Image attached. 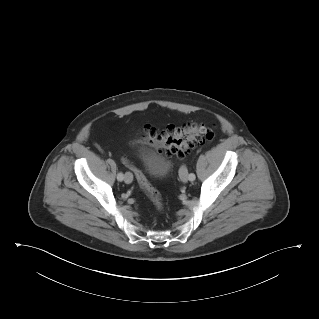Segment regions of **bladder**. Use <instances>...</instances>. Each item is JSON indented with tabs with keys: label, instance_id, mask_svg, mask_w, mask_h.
<instances>
[{
	"label": "bladder",
	"instance_id": "31cf9c89",
	"mask_svg": "<svg viewBox=\"0 0 319 319\" xmlns=\"http://www.w3.org/2000/svg\"><path fill=\"white\" fill-rule=\"evenodd\" d=\"M140 157L149 177L162 178L170 172V163L155 147L140 150Z\"/></svg>",
	"mask_w": 319,
	"mask_h": 319
}]
</instances>
